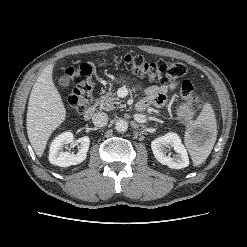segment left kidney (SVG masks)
<instances>
[{
	"instance_id": "1",
	"label": "left kidney",
	"mask_w": 247,
	"mask_h": 247,
	"mask_svg": "<svg viewBox=\"0 0 247 247\" xmlns=\"http://www.w3.org/2000/svg\"><path fill=\"white\" fill-rule=\"evenodd\" d=\"M171 146L177 153L171 157L166 154V148ZM151 149L155 158L163 165H167L172 169H181L189 165V157L186 148L181 142L180 137L176 133L169 132L164 136L158 137L151 143Z\"/></svg>"
}]
</instances>
